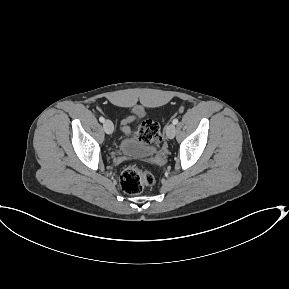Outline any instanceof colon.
<instances>
[{
  "label": "colon",
  "mask_w": 289,
  "mask_h": 289,
  "mask_svg": "<svg viewBox=\"0 0 289 289\" xmlns=\"http://www.w3.org/2000/svg\"><path fill=\"white\" fill-rule=\"evenodd\" d=\"M137 138L144 144H159L162 141L159 124L150 119L143 121L138 128ZM153 184V175L136 165L127 166L122 171L120 185L129 195L139 194Z\"/></svg>",
  "instance_id": "1"
}]
</instances>
